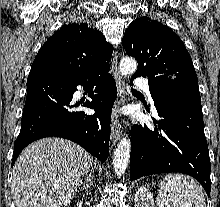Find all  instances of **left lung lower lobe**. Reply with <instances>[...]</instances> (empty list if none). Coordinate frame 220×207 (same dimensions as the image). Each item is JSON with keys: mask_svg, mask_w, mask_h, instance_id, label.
Returning a JSON list of instances; mask_svg holds the SVG:
<instances>
[{"mask_svg": "<svg viewBox=\"0 0 220 207\" xmlns=\"http://www.w3.org/2000/svg\"><path fill=\"white\" fill-rule=\"evenodd\" d=\"M151 94L159 120L151 128H131L130 179L180 172L197 179L209 196L211 164L198 85L180 82Z\"/></svg>", "mask_w": 220, "mask_h": 207, "instance_id": "1", "label": "left lung lower lobe"}]
</instances>
